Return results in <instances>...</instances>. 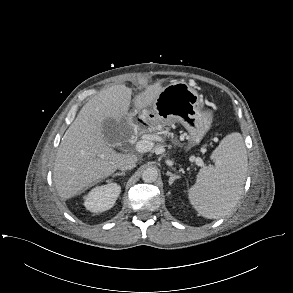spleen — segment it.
I'll return each instance as SVG.
<instances>
[{
  "label": "spleen",
  "instance_id": "3e777b00",
  "mask_svg": "<svg viewBox=\"0 0 293 293\" xmlns=\"http://www.w3.org/2000/svg\"><path fill=\"white\" fill-rule=\"evenodd\" d=\"M212 159L215 166L200 170L188 198L201 216L218 219L234 208L243 189L248 160L242 135L234 132L224 137Z\"/></svg>",
  "mask_w": 293,
  "mask_h": 293
}]
</instances>
